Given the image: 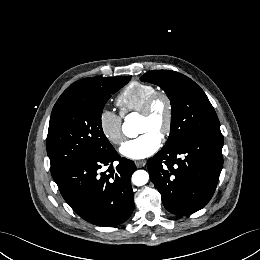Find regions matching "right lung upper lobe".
Masks as SVG:
<instances>
[{
	"mask_svg": "<svg viewBox=\"0 0 260 260\" xmlns=\"http://www.w3.org/2000/svg\"><path fill=\"white\" fill-rule=\"evenodd\" d=\"M109 78L110 77H92L74 82L63 92V94L56 102L54 108L63 104L71 103L76 99L86 97L94 87H96L97 85L101 84Z\"/></svg>",
	"mask_w": 260,
	"mask_h": 260,
	"instance_id": "right-lung-upper-lobe-1",
	"label": "right lung upper lobe"
}]
</instances>
